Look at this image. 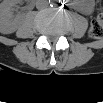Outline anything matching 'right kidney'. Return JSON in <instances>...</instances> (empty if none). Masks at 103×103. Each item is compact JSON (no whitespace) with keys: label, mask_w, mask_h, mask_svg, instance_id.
Returning a JSON list of instances; mask_svg holds the SVG:
<instances>
[{"label":"right kidney","mask_w":103,"mask_h":103,"mask_svg":"<svg viewBox=\"0 0 103 103\" xmlns=\"http://www.w3.org/2000/svg\"><path fill=\"white\" fill-rule=\"evenodd\" d=\"M19 3L17 0H4L0 5V31L10 34L17 30L18 19H12L13 7Z\"/></svg>","instance_id":"obj_1"}]
</instances>
